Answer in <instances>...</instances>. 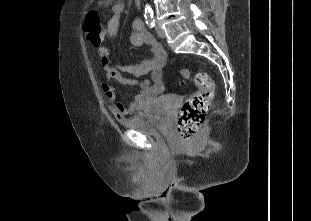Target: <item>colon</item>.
<instances>
[{"mask_svg":"<svg viewBox=\"0 0 311 221\" xmlns=\"http://www.w3.org/2000/svg\"><path fill=\"white\" fill-rule=\"evenodd\" d=\"M104 26L98 22L96 11L86 13L84 25V39H89L94 48H100L103 39ZM189 71H180V83L188 81ZM196 92L184 100L177 119V131L180 141H193L196 130L202 125L206 114L210 110V102L213 97L214 84L206 73H199L195 77Z\"/></svg>","mask_w":311,"mask_h":221,"instance_id":"colon-1","label":"colon"}]
</instances>
